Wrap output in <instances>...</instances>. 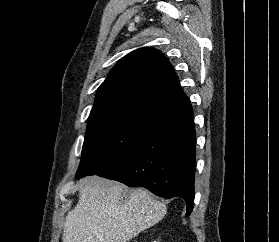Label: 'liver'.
I'll return each instance as SVG.
<instances>
[{"label":"liver","instance_id":"liver-1","mask_svg":"<svg viewBox=\"0 0 279 242\" xmlns=\"http://www.w3.org/2000/svg\"><path fill=\"white\" fill-rule=\"evenodd\" d=\"M166 211V205L145 189L128 192L118 182L86 178L78 204L66 216L62 241L127 242L158 223Z\"/></svg>","mask_w":279,"mask_h":242}]
</instances>
